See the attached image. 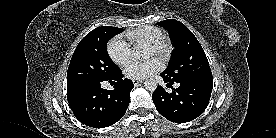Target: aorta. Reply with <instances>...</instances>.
Masks as SVG:
<instances>
[{
	"instance_id": "obj_1",
	"label": "aorta",
	"mask_w": 276,
	"mask_h": 138,
	"mask_svg": "<svg viewBox=\"0 0 276 138\" xmlns=\"http://www.w3.org/2000/svg\"><path fill=\"white\" fill-rule=\"evenodd\" d=\"M134 56L136 58H140L141 57V53L140 51H135L134 52ZM144 87L148 90V91H155L157 89V82L155 79H147L145 82H144Z\"/></svg>"
}]
</instances>
